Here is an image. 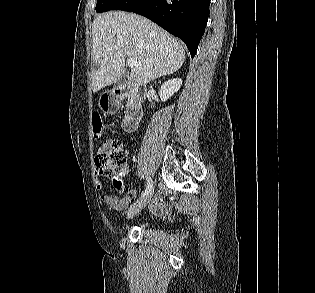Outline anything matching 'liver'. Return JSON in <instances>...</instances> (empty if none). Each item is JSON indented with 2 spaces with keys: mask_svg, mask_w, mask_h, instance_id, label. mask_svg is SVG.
<instances>
[{
  "mask_svg": "<svg viewBox=\"0 0 315 293\" xmlns=\"http://www.w3.org/2000/svg\"><path fill=\"white\" fill-rule=\"evenodd\" d=\"M92 43V60L100 65L92 75L94 92L121 77L126 59L137 63L127 74L136 86L176 72L185 60L179 40L133 13L115 11L97 16L92 24Z\"/></svg>",
  "mask_w": 315,
  "mask_h": 293,
  "instance_id": "obj_1",
  "label": "liver"
}]
</instances>
